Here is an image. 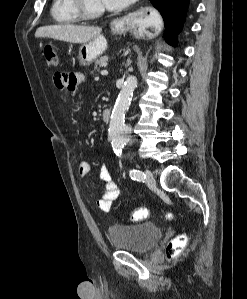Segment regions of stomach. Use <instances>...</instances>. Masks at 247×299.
<instances>
[{"label": "stomach", "mask_w": 247, "mask_h": 299, "mask_svg": "<svg viewBox=\"0 0 247 299\" xmlns=\"http://www.w3.org/2000/svg\"><path fill=\"white\" fill-rule=\"evenodd\" d=\"M126 29V23L116 22L112 26L113 33H122ZM107 48V41L103 36H98L95 39L84 43L79 48L78 61L81 66H89L100 55L104 53Z\"/></svg>", "instance_id": "obj_1"}]
</instances>
